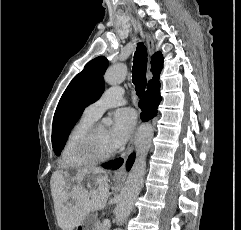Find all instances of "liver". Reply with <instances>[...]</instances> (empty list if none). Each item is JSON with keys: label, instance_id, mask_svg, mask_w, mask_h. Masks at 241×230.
I'll list each match as a JSON object with an SVG mask.
<instances>
[{"label": "liver", "instance_id": "obj_1", "mask_svg": "<svg viewBox=\"0 0 241 230\" xmlns=\"http://www.w3.org/2000/svg\"><path fill=\"white\" fill-rule=\"evenodd\" d=\"M87 175L96 176L94 182H85ZM106 172L91 167L77 170L75 176L56 171L51 177V193L58 225L62 230H73L90 212L103 209L110 196ZM68 181L75 184L71 185ZM72 202L69 203V200Z\"/></svg>", "mask_w": 241, "mask_h": 230}]
</instances>
